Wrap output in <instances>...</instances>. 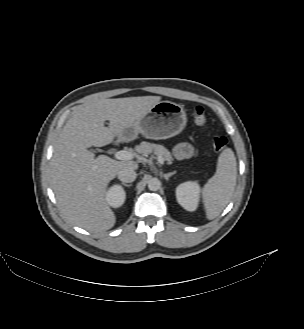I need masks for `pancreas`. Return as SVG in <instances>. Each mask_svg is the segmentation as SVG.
I'll list each match as a JSON object with an SVG mask.
<instances>
[{"instance_id": "obj_1", "label": "pancreas", "mask_w": 304, "mask_h": 329, "mask_svg": "<svg viewBox=\"0 0 304 329\" xmlns=\"http://www.w3.org/2000/svg\"><path fill=\"white\" fill-rule=\"evenodd\" d=\"M136 150L143 156H148L152 153L161 155L163 159L167 161V164H171L173 161L171 153L164 146L159 144H153L150 142L143 141L140 143Z\"/></svg>"}]
</instances>
